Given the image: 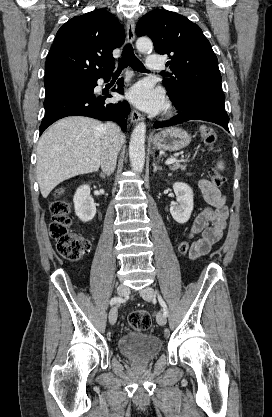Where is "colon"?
Listing matches in <instances>:
<instances>
[{
	"instance_id": "1",
	"label": "colon",
	"mask_w": 272,
	"mask_h": 417,
	"mask_svg": "<svg viewBox=\"0 0 272 417\" xmlns=\"http://www.w3.org/2000/svg\"><path fill=\"white\" fill-rule=\"evenodd\" d=\"M200 133L206 146L212 150L217 142V134L215 130L203 125L200 127ZM209 177L214 186H222L225 183V177L215 169L209 171ZM64 194L63 188L55 191L56 200L50 206L52 213V221L50 224V234L56 242L58 253L65 259L71 261L79 260L85 253L91 249L88 240L71 232V208L69 203L62 198ZM192 242L183 241L178 244L177 251L180 255L189 253ZM129 326L134 330H147L151 326V317L145 311H135L129 315Z\"/></svg>"
}]
</instances>
